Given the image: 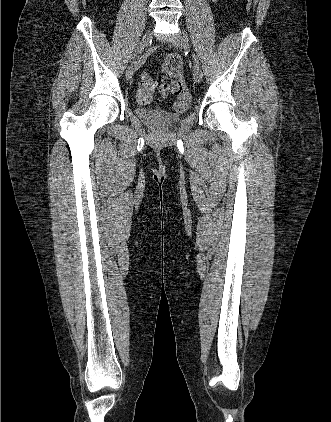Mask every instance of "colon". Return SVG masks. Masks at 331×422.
<instances>
[{
    "mask_svg": "<svg viewBox=\"0 0 331 422\" xmlns=\"http://www.w3.org/2000/svg\"><path fill=\"white\" fill-rule=\"evenodd\" d=\"M183 62L180 55L172 53L166 56L163 62V79L160 86L162 95L169 92L179 96L174 108L178 111L185 109L189 104V92L181 79Z\"/></svg>",
    "mask_w": 331,
    "mask_h": 422,
    "instance_id": "5ec220e1",
    "label": "colon"
}]
</instances>
